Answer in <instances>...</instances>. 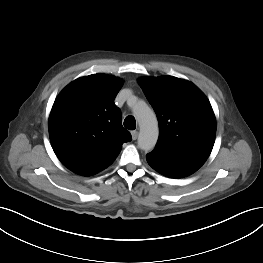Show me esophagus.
<instances>
[{
  "instance_id": "1",
  "label": "esophagus",
  "mask_w": 263,
  "mask_h": 263,
  "mask_svg": "<svg viewBox=\"0 0 263 263\" xmlns=\"http://www.w3.org/2000/svg\"><path fill=\"white\" fill-rule=\"evenodd\" d=\"M131 136L133 140H136L138 138V131H132Z\"/></svg>"
}]
</instances>
